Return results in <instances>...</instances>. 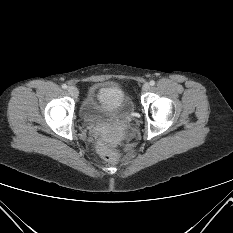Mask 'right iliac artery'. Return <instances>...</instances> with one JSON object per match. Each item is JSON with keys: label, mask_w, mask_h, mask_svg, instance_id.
Returning a JSON list of instances; mask_svg holds the SVG:
<instances>
[{"label": "right iliac artery", "mask_w": 233, "mask_h": 233, "mask_svg": "<svg viewBox=\"0 0 233 233\" xmlns=\"http://www.w3.org/2000/svg\"><path fill=\"white\" fill-rule=\"evenodd\" d=\"M62 88H63V89H67V85H66V84H63V85H62Z\"/></svg>", "instance_id": "right-iliac-artery-1"}]
</instances>
